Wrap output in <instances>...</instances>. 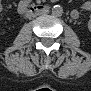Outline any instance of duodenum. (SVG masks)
Masks as SVG:
<instances>
[{"label": "duodenum", "instance_id": "1", "mask_svg": "<svg viewBox=\"0 0 91 91\" xmlns=\"http://www.w3.org/2000/svg\"><path fill=\"white\" fill-rule=\"evenodd\" d=\"M49 9H50V6L48 4H43V3L33 4L27 8L25 15L31 16L38 13H44V12H47Z\"/></svg>", "mask_w": 91, "mask_h": 91}]
</instances>
